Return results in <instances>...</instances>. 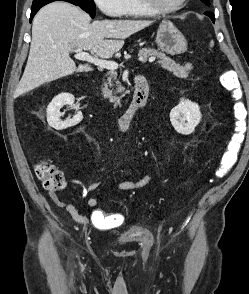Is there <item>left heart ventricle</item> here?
Instances as JSON below:
<instances>
[{
	"instance_id": "1",
	"label": "left heart ventricle",
	"mask_w": 249,
	"mask_h": 294,
	"mask_svg": "<svg viewBox=\"0 0 249 294\" xmlns=\"http://www.w3.org/2000/svg\"><path fill=\"white\" fill-rule=\"evenodd\" d=\"M156 5L160 8L174 7L180 3L181 0H154Z\"/></svg>"
}]
</instances>
